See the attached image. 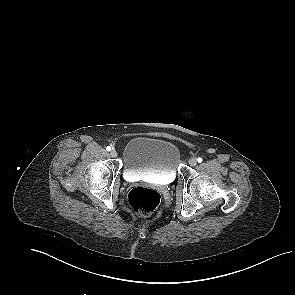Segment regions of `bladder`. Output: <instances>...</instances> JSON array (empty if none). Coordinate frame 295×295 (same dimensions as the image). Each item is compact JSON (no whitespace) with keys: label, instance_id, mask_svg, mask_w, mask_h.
Instances as JSON below:
<instances>
[{"label":"bladder","instance_id":"bladder-1","mask_svg":"<svg viewBox=\"0 0 295 295\" xmlns=\"http://www.w3.org/2000/svg\"><path fill=\"white\" fill-rule=\"evenodd\" d=\"M123 171L128 177H152L172 182L177 176L180 151L171 141L135 137L123 149Z\"/></svg>","mask_w":295,"mask_h":295}]
</instances>
